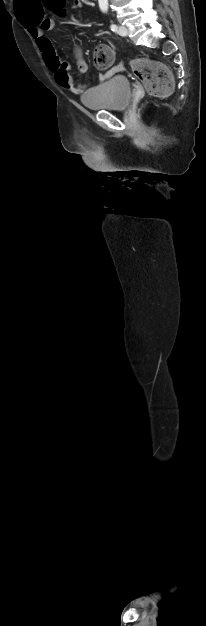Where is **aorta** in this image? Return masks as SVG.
<instances>
[{"label":"aorta","mask_w":206,"mask_h":626,"mask_svg":"<svg viewBox=\"0 0 206 626\" xmlns=\"http://www.w3.org/2000/svg\"><path fill=\"white\" fill-rule=\"evenodd\" d=\"M98 2H99V6H100L102 9H107V6H108V0H98Z\"/></svg>","instance_id":"aorta-1"}]
</instances>
